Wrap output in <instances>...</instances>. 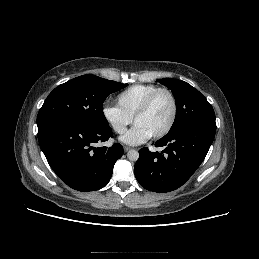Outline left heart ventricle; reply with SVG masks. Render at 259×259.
I'll use <instances>...</instances> for the list:
<instances>
[{
	"label": "left heart ventricle",
	"mask_w": 259,
	"mask_h": 259,
	"mask_svg": "<svg viewBox=\"0 0 259 259\" xmlns=\"http://www.w3.org/2000/svg\"><path fill=\"white\" fill-rule=\"evenodd\" d=\"M172 115V101L166 93L156 97L146 114L139 117L135 124L148 131L151 136L161 131Z\"/></svg>",
	"instance_id": "b2bd125f"
}]
</instances>
